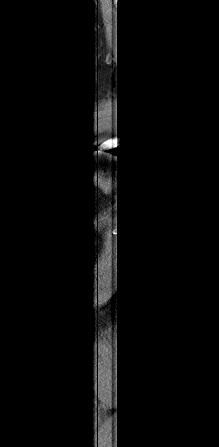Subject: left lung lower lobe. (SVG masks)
<instances>
[{"mask_svg":"<svg viewBox=\"0 0 219 447\" xmlns=\"http://www.w3.org/2000/svg\"><path fill=\"white\" fill-rule=\"evenodd\" d=\"M98 149V145L96 147L90 146L88 149V152H92L93 150ZM111 153L113 154H117L120 157H124L126 156V149L124 148L123 145L118 146V148L116 150H110Z\"/></svg>","mask_w":219,"mask_h":447,"instance_id":"left-lung-lower-lobe-1","label":"left lung lower lobe"}]
</instances>
